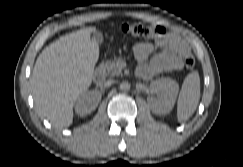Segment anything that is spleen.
Instances as JSON below:
<instances>
[{"mask_svg": "<svg viewBox=\"0 0 243 167\" xmlns=\"http://www.w3.org/2000/svg\"><path fill=\"white\" fill-rule=\"evenodd\" d=\"M200 99V77L197 71L188 74L182 84L177 101L178 121H186L195 112Z\"/></svg>", "mask_w": 243, "mask_h": 167, "instance_id": "1", "label": "spleen"}]
</instances>
